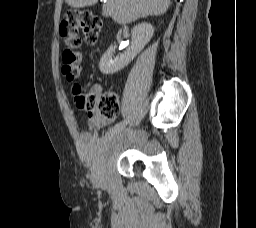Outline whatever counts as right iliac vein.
Wrapping results in <instances>:
<instances>
[{"instance_id": "1", "label": "right iliac vein", "mask_w": 256, "mask_h": 228, "mask_svg": "<svg viewBox=\"0 0 256 228\" xmlns=\"http://www.w3.org/2000/svg\"><path fill=\"white\" fill-rule=\"evenodd\" d=\"M127 127L126 126H121L120 129L116 130V135H119L121 133V131H126Z\"/></svg>"}]
</instances>
